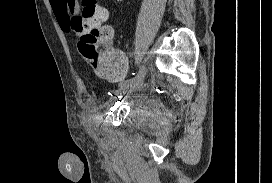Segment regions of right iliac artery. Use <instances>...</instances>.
Masks as SVG:
<instances>
[{"instance_id": "82829eb1", "label": "right iliac artery", "mask_w": 272, "mask_h": 183, "mask_svg": "<svg viewBox=\"0 0 272 183\" xmlns=\"http://www.w3.org/2000/svg\"><path fill=\"white\" fill-rule=\"evenodd\" d=\"M141 69H144V67H141ZM141 69H140V68H135V69H134V72H135V73L133 74V76H131L130 79H129V80H126V81H127V82H128V81H136L137 78L140 77ZM144 70H145V69H144Z\"/></svg>"}]
</instances>
